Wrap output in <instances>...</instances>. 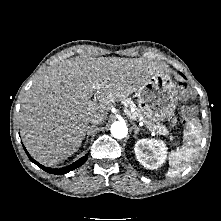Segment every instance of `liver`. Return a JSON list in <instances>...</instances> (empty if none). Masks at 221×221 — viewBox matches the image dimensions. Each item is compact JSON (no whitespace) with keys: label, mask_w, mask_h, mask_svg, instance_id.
Returning <instances> with one entry per match:
<instances>
[{"label":"liver","mask_w":221,"mask_h":221,"mask_svg":"<svg viewBox=\"0 0 221 221\" xmlns=\"http://www.w3.org/2000/svg\"><path fill=\"white\" fill-rule=\"evenodd\" d=\"M163 69L143 58L84 56L59 62L22 100L19 122L25 147L45 166L60 163L78 151L91 118L105 120L110 102L128 97Z\"/></svg>","instance_id":"obj_1"}]
</instances>
